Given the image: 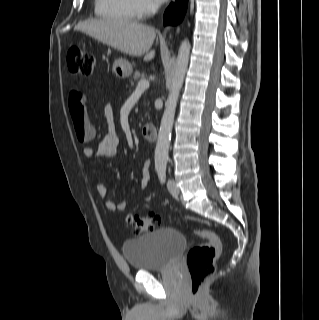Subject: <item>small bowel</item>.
Returning a JSON list of instances; mask_svg holds the SVG:
<instances>
[{
	"instance_id": "1",
	"label": "small bowel",
	"mask_w": 319,
	"mask_h": 320,
	"mask_svg": "<svg viewBox=\"0 0 319 320\" xmlns=\"http://www.w3.org/2000/svg\"><path fill=\"white\" fill-rule=\"evenodd\" d=\"M85 94L79 89H73L69 94V111L74 123H82L86 127L90 128L93 136L95 135V128L90 123L86 107ZM104 116L108 124V131L103 136L101 141L98 143L96 148L91 146H85L83 148V155L88 160H93L99 157L113 158L118 154L120 146V137L115 130L114 123V111L111 105L107 104L104 106ZM149 168L150 162L145 161L141 166V189H145L149 183ZM95 190L98 196L104 198L107 195L106 186L100 182L95 184ZM105 208L108 211H125L127 208L126 201L114 202L112 200H105Z\"/></svg>"
}]
</instances>
